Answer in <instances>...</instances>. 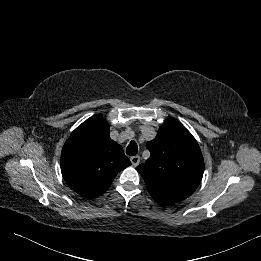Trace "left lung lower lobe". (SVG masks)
Wrapping results in <instances>:
<instances>
[{
  "label": "left lung lower lobe",
  "mask_w": 261,
  "mask_h": 261,
  "mask_svg": "<svg viewBox=\"0 0 261 261\" xmlns=\"http://www.w3.org/2000/svg\"><path fill=\"white\" fill-rule=\"evenodd\" d=\"M150 195L153 197V199L157 203L163 204V205L177 203V202L183 201L185 199V198L175 196V195H162V194H150Z\"/></svg>",
  "instance_id": "obj_1"
}]
</instances>
